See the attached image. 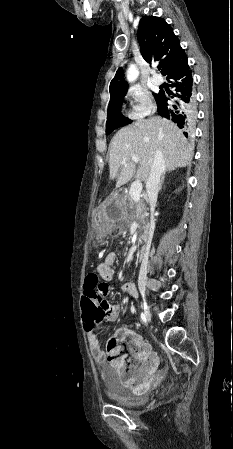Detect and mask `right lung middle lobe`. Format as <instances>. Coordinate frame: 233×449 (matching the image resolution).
<instances>
[{"instance_id":"1","label":"right lung middle lobe","mask_w":233,"mask_h":449,"mask_svg":"<svg viewBox=\"0 0 233 449\" xmlns=\"http://www.w3.org/2000/svg\"><path fill=\"white\" fill-rule=\"evenodd\" d=\"M159 94H153L155 100L158 99ZM126 93L118 94L110 98L109 107H108V115L106 122V134H110L113 130L118 127L127 125L132 122V120L124 117L121 112V106Z\"/></svg>"}]
</instances>
